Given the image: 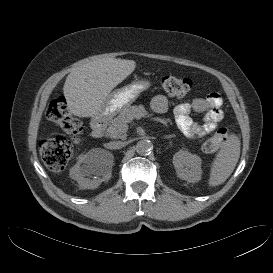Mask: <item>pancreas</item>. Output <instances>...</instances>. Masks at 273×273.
Listing matches in <instances>:
<instances>
[{
  "instance_id": "1",
  "label": "pancreas",
  "mask_w": 273,
  "mask_h": 273,
  "mask_svg": "<svg viewBox=\"0 0 273 273\" xmlns=\"http://www.w3.org/2000/svg\"><path fill=\"white\" fill-rule=\"evenodd\" d=\"M147 111L144 106H129L120 111V114L113 119L109 128L107 129V135L112 138H125V132H122V128L128 127V123H130L133 119H140L141 117H145L147 115Z\"/></svg>"
}]
</instances>
